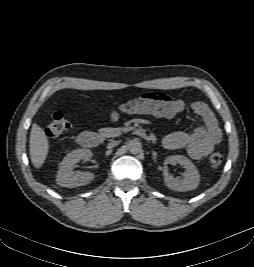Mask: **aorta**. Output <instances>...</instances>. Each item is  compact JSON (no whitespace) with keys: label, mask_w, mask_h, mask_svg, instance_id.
<instances>
[{"label":"aorta","mask_w":254,"mask_h":267,"mask_svg":"<svg viewBox=\"0 0 254 267\" xmlns=\"http://www.w3.org/2000/svg\"><path fill=\"white\" fill-rule=\"evenodd\" d=\"M128 148L131 154H139L142 151V143L139 140H131Z\"/></svg>","instance_id":"obj_1"}]
</instances>
